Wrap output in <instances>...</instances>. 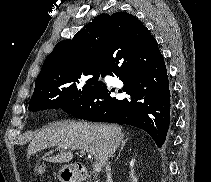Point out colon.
Segmentation results:
<instances>
[{
  "label": "colon",
  "instance_id": "obj_1",
  "mask_svg": "<svg viewBox=\"0 0 211 182\" xmlns=\"http://www.w3.org/2000/svg\"><path fill=\"white\" fill-rule=\"evenodd\" d=\"M36 173L38 175H42L44 173V167H43V165H38L37 166Z\"/></svg>",
  "mask_w": 211,
  "mask_h": 182
}]
</instances>
